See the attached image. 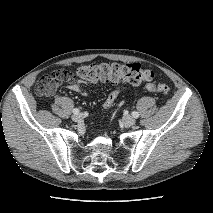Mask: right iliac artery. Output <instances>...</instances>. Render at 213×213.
Wrapping results in <instances>:
<instances>
[{"label":"right iliac artery","mask_w":213,"mask_h":213,"mask_svg":"<svg viewBox=\"0 0 213 213\" xmlns=\"http://www.w3.org/2000/svg\"><path fill=\"white\" fill-rule=\"evenodd\" d=\"M73 113L74 114H78L79 113V109H77V108L73 109Z\"/></svg>","instance_id":"82829eb1"}]
</instances>
